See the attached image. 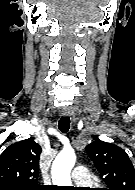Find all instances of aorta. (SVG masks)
Wrapping results in <instances>:
<instances>
[{
    "label": "aorta",
    "instance_id": "obj_1",
    "mask_svg": "<svg viewBox=\"0 0 135 190\" xmlns=\"http://www.w3.org/2000/svg\"><path fill=\"white\" fill-rule=\"evenodd\" d=\"M76 162L72 149L62 150L52 164V180L58 186H71L70 173Z\"/></svg>",
    "mask_w": 135,
    "mask_h": 190
}]
</instances>
